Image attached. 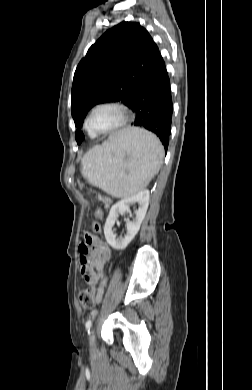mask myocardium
<instances>
[{
	"instance_id": "1",
	"label": "myocardium",
	"mask_w": 252,
	"mask_h": 390,
	"mask_svg": "<svg viewBox=\"0 0 252 390\" xmlns=\"http://www.w3.org/2000/svg\"><path fill=\"white\" fill-rule=\"evenodd\" d=\"M101 108L113 109L118 114L117 122L113 126H111L110 128H108L106 130H96V129H93L91 126V118H92L93 114L95 113V111H97L98 109H101ZM129 118H130V110L124 104H121L119 102H102V103L95 105L90 110V112L87 116V119H86V127L89 130V132H91L95 135H108V134L114 133V132L120 130L121 128H123L127 124Z\"/></svg>"
}]
</instances>
